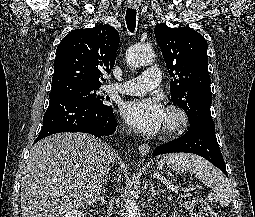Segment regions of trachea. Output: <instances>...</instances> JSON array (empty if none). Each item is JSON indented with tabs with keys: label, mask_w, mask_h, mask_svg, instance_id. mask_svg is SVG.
I'll use <instances>...</instances> for the list:
<instances>
[{
	"label": "trachea",
	"mask_w": 255,
	"mask_h": 217,
	"mask_svg": "<svg viewBox=\"0 0 255 217\" xmlns=\"http://www.w3.org/2000/svg\"><path fill=\"white\" fill-rule=\"evenodd\" d=\"M125 19L129 31L133 33L136 27V10L128 8Z\"/></svg>",
	"instance_id": "1"
}]
</instances>
